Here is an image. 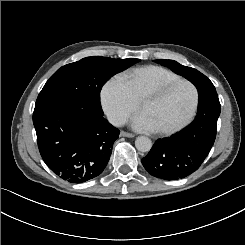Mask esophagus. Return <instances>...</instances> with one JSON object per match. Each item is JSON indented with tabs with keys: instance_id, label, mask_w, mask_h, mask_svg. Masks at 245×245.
<instances>
[{
	"instance_id": "1",
	"label": "esophagus",
	"mask_w": 245,
	"mask_h": 245,
	"mask_svg": "<svg viewBox=\"0 0 245 245\" xmlns=\"http://www.w3.org/2000/svg\"><path fill=\"white\" fill-rule=\"evenodd\" d=\"M120 135L124 136V137H129V138H133L135 136L134 134L128 133V132H125V131H121Z\"/></svg>"
}]
</instances>
